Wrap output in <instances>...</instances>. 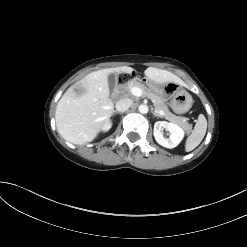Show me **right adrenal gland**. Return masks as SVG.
Returning a JSON list of instances; mask_svg holds the SVG:
<instances>
[{
    "label": "right adrenal gland",
    "instance_id": "right-adrenal-gland-1",
    "mask_svg": "<svg viewBox=\"0 0 247 247\" xmlns=\"http://www.w3.org/2000/svg\"><path fill=\"white\" fill-rule=\"evenodd\" d=\"M113 113H114V114H119V112H118V111H114Z\"/></svg>",
    "mask_w": 247,
    "mask_h": 247
}]
</instances>
